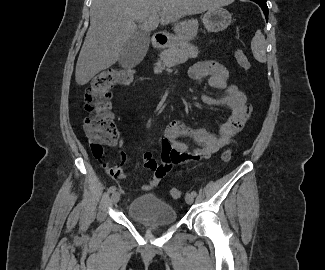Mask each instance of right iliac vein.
<instances>
[{"label": "right iliac vein", "instance_id": "right-iliac-vein-1", "mask_svg": "<svg viewBox=\"0 0 325 270\" xmlns=\"http://www.w3.org/2000/svg\"><path fill=\"white\" fill-rule=\"evenodd\" d=\"M120 193L119 192H113V194L110 197V203L116 204L120 200Z\"/></svg>", "mask_w": 325, "mask_h": 270}]
</instances>
